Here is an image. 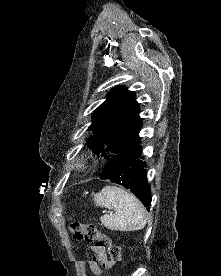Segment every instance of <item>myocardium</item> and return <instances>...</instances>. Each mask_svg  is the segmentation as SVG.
I'll return each mask as SVG.
<instances>
[{
	"instance_id": "obj_1",
	"label": "myocardium",
	"mask_w": 221,
	"mask_h": 276,
	"mask_svg": "<svg viewBox=\"0 0 221 276\" xmlns=\"http://www.w3.org/2000/svg\"><path fill=\"white\" fill-rule=\"evenodd\" d=\"M75 166L78 168V169H85L86 167V162L85 160L83 159H79L76 163H75Z\"/></svg>"
}]
</instances>
